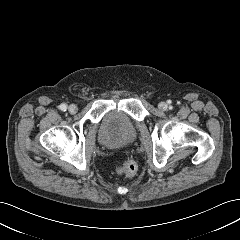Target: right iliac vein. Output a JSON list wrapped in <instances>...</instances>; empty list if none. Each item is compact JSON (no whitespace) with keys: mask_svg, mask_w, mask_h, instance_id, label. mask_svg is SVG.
I'll use <instances>...</instances> for the list:
<instances>
[{"mask_svg":"<svg viewBox=\"0 0 240 240\" xmlns=\"http://www.w3.org/2000/svg\"><path fill=\"white\" fill-rule=\"evenodd\" d=\"M68 111L71 113V114H75L77 112V106L75 104H71L68 108Z\"/></svg>","mask_w":240,"mask_h":240,"instance_id":"obj_1","label":"right iliac vein"}]
</instances>
